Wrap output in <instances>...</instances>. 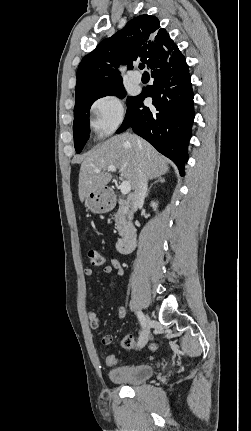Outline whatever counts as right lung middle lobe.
I'll return each mask as SVG.
<instances>
[{
	"mask_svg": "<svg viewBox=\"0 0 251 431\" xmlns=\"http://www.w3.org/2000/svg\"><path fill=\"white\" fill-rule=\"evenodd\" d=\"M106 95H116L119 98H124L126 92L124 90L122 82L116 83L109 87L101 90L93 91L87 94L76 97L75 108H74V122H73V133H74V146L77 153H80L83 149L90 132L89 127V110L93 102ZM132 97L127 98V103Z\"/></svg>",
	"mask_w": 251,
	"mask_h": 431,
	"instance_id": "right-lung-middle-lobe-1",
	"label": "right lung middle lobe"
}]
</instances>
